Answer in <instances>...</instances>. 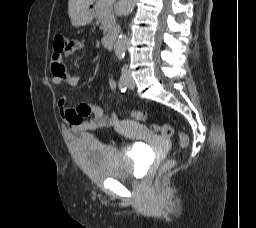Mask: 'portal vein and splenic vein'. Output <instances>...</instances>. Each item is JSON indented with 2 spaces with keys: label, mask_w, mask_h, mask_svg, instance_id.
<instances>
[{
  "label": "portal vein and splenic vein",
  "mask_w": 256,
  "mask_h": 228,
  "mask_svg": "<svg viewBox=\"0 0 256 228\" xmlns=\"http://www.w3.org/2000/svg\"><path fill=\"white\" fill-rule=\"evenodd\" d=\"M108 2H111V1H113V0H107Z\"/></svg>",
  "instance_id": "18ae733b"
}]
</instances>
